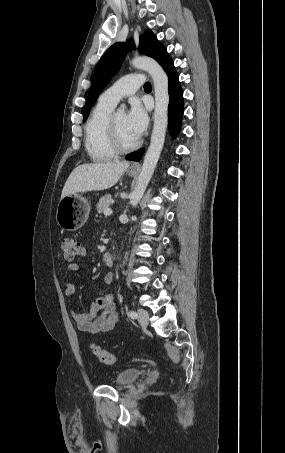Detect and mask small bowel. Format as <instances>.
Returning <instances> with one entry per match:
<instances>
[{
  "instance_id": "c3829d8e",
  "label": "small bowel",
  "mask_w": 285,
  "mask_h": 453,
  "mask_svg": "<svg viewBox=\"0 0 285 453\" xmlns=\"http://www.w3.org/2000/svg\"><path fill=\"white\" fill-rule=\"evenodd\" d=\"M85 256L86 250L81 248L78 258L81 259ZM68 269L76 272L79 270V264L77 262L71 263ZM112 281L113 274L106 273L104 282L110 284ZM64 287L68 299L74 302L76 297L75 286L70 282H65ZM115 308L113 296L102 291L96 296L88 311L72 310V318L81 332L90 334L108 332L114 328L118 320Z\"/></svg>"
}]
</instances>
